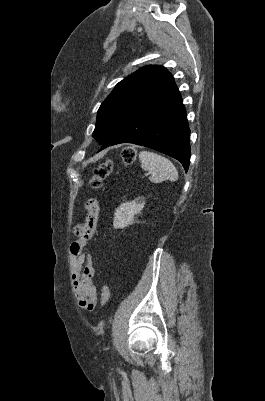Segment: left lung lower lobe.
Returning a JSON list of instances; mask_svg holds the SVG:
<instances>
[{
	"label": "left lung lower lobe",
	"instance_id": "left-lung-lower-lobe-1",
	"mask_svg": "<svg viewBox=\"0 0 265 401\" xmlns=\"http://www.w3.org/2000/svg\"><path fill=\"white\" fill-rule=\"evenodd\" d=\"M189 138L185 107L174 83L135 113L103 143L100 150L120 143H133L177 159L187 171L190 163Z\"/></svg>",
	"mask_w": 265,
	"mask_h": 401
}]
</instances>
